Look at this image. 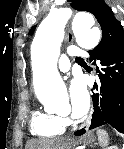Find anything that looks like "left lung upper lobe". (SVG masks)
Here are the masks:
<instances>
[{"label": "left lung upper lobe", "instance_id": "obj_1", "mask_svg": "<svg viewBox=\"0 0 124 149\" xmlns=\"http://www.w3.org/2000/svg\"><path fill=\"white\" fill-rule=\"evenodd\" d=\"M76 10L92 13L102 29V40L91 52L118 47L124 44V30L121 23L114 17L111 8L103 0H68ZM34 26L29 34L32 35Z\"/></svg>", "mask_w": 124, "mask_h": 149}]
</instances>
